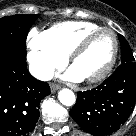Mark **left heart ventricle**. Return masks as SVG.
Wrapping results in <instances>:
<instances>
[{"instance_id": "obj_1", "label": "left heart ventricle", "mask_w": 136, "mask_h": 136, "mask_svg": "<svg viewBox=\"0 0 136 136\" xmlns=\"http://www.w3.org/2000/svg\"><path fill=\"white\" fill-rule=\"evenodd\" d=\"M114 48L113 37L104 33L95 38L86 51L80 55L72 68L82 77L92 76L109 62Z\"/></svg>"}]
</instances>
